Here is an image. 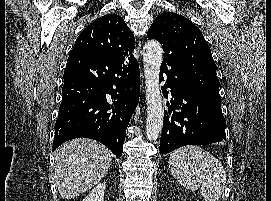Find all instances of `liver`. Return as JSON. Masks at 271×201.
Masks as SVG:
<instances>
[{"mask_svg": "<svg viewBox=\"0 0 271 201\" xmlns=\"http://www.w3.org/2000/svg\"><path fill=\"white\" fill-rule=\"evenodd\" d=\"M112 154L104 145L86 138L71 140L57 149L53 178L63 199L85 193L106 174Z\"/></svg>", "mask_w": 271, "mask_h": 201, "instance_id": "liver-1", "label": "liver"}]
</instances>
